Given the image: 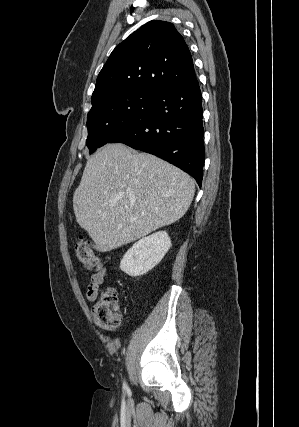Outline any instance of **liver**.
<instances>
[{
    "mask_svg": "<svg viewBox=\"0 0 299 427\" xmlns=\"http://www.w3.org/2000/svg\"><path fill=\"white\" fill-rule=\"evenodd\" d=\"M194 193L193 179L172 164L107 144L88 159L73 209L95 249L107 252L178 221Z\"/></svg>",
    "mask_w": 299,
    "mask_h": 427,
    "instance_id": "6515ba94",
    "label": "liver"
}]
</instances>
